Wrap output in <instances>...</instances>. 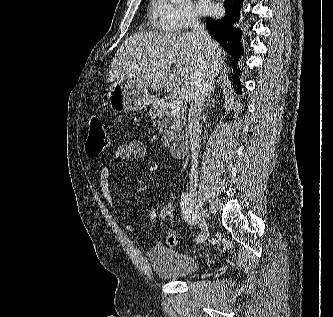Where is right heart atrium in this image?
<instances>
[{
  "label": "right heart atrium",
  "instance_id": "obj_1",
  "mask_svg": "<svg viewBox=\"0 0 333 317\" xmlns=\"http://www.w3.org/2000/svg\"><path fill=\"white\" fill-rule=\"evenodd\" d=\"M154 1V21L160 30L178 32L198 24L197 15L189 0H181L180 2Z\"/></svg>",
  "mask_w": 333,
  "mask_h": 317
}]
</instances>
